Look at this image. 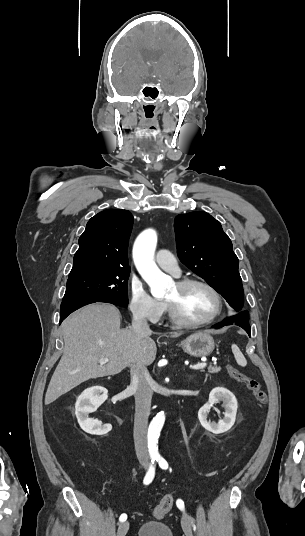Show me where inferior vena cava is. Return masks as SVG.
<instances>
[{
	"label": "inferior vena cava",
	"instance_id": "602c4592",
	"mask_svg": "<svg viewBox=\"0 0 305 536\" xmlns=\"http://www.w3.org/2000/svg\"><path fill=\"white\" fill-rule=\"evenodd\" d=\"M132 330L136 334L150 336L151 330L147 324L145 316L140 314L138 308L133 312ZM131 384L129 390H133L135 396V418H134V444L137 458L147 460V426L151 408L152 390L150 382L152 380L147 368H130Z\"/></svg>",
	"mask_w": 305,
	"mask_h": 536
}]
</instances>
